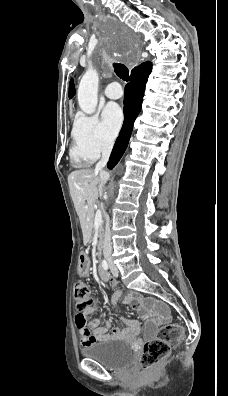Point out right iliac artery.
Masks as SVG:
<instances>
[{
	"instance_id": "obj_1",
	"label": "right iliac artery",
	"mask_w": 228,
	"mask_h": 396,
	"mask_svg": "<svg viewBox=\"0 0 228 396\" xmlns=\"http://www.w3.org/2000/svg\"><path fill=\"white\" fill-rule=\"evenodd\" d=\"M101 265H102L103 269H105V270H107L108 267H109L106 260H103L102 263H101Z\"/></svg>"
}]
</instances>
